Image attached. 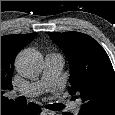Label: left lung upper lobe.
<instances>
[{"mask_svg":"<svg viewBox=\"0 0 115 115\" xmlns=\"http://www.w3.org/2000/svg\"><path fill=\"white\" fill-rule=\"evenodd\" d=\"M70 64L71 95L82 99L81 115H115V74L105 50L79 32H49Z\"/></svg>","mask_w":115,"mask_h":115,"instance_id":"obj_1","label":"left lung upper lobe"}]
</instances>
